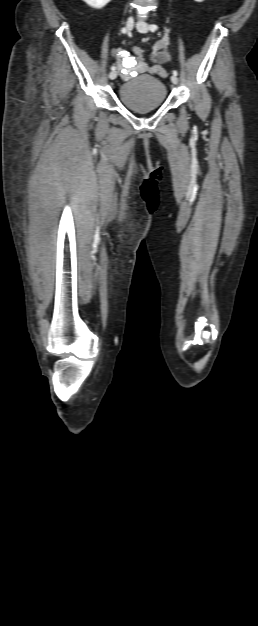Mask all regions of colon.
I'll return each instance as SVG.
<instances>
[{"label":"colon","mask_w":258,"mask_h":626,"mask_svg":"<svg viewBox=\"0 0 258 626\" xmlns=\"http://www.w3.org/2000/svg\"><path fill=\"white\" fill-rule=\"evenodd\" d=\"M133 51L137 56H142V50L140 48L135 47ZM166 57H167L166 51H159L156 53V58L159 60H163Z\"/></svg>","instance_id":"obj_1"}]
</instances>
